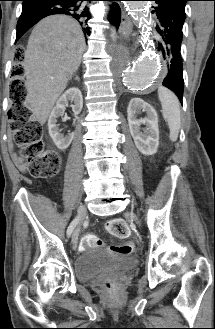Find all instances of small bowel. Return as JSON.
<instances>
[{
	"label": "small bowel",
	"mask_w": 215,
	"mask_h": 329,
	"mask_svg": "<svg viewBox=\"0 0 215 329\" xmlns=\"http://www.w3.org/2000/svg\"><path fill=\"white\" fill-rule=\"evenodd\" d=\"M14 160L16 162V164L18 165V167L21 169V170H26V165L25 163L23 162V160L21 159L20 156L18 155H14Z\"/></svg>",
	"instance_id": "obj_1"
}]
</instances>
